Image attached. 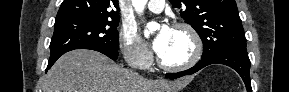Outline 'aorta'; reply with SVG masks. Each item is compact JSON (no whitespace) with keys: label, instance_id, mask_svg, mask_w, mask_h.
<instances>
[{"label":"aorta","instance_id":"obj_1","mask_svg":"<svg viewBox=\"0 0 289 92\" xmlns=\"http://www.w3.org/2000/svg\"><path fill=\"white\" fill-rule=\"evenodd\" d=\"M146 3H147V0H132V4L138 13L143 12ZM147 28L148 29L145 30L144 32L145 36L149 35V30L151 31V30L158 28V24L155 22L148 23Z\"/></svg>","mask_w":289,"mask_h":92}]
</instances>
